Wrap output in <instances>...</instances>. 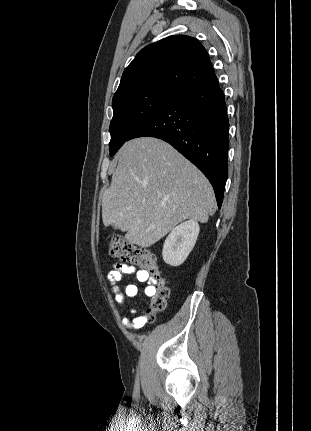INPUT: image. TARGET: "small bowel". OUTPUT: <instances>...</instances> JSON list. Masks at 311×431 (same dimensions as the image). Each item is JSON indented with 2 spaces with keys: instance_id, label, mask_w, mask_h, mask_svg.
<instances>
[{
  "instance_id": "1",
  "label": "small bowel",
  "mask_w": 311,
  "mask_h": 431,
  "mask_svg": "<svg viewBox=\"0 0 311 431\" xmlns=\"http://www.w3.org/2000/svg\"><path fill=\"white\" fill-rule=\"evenodd\" d=\"M126 275H135L139 282L148 283L144 289V293L148 297L153 295L154 286L151 285L152 280L147 271L138 270L134 266L116 263L114 264L113 269L108 273V281L114 293L117 307L123 306L127 298H133L138 293V287L135 284H127L124 288L119 287L118 284L125 278ZM129 313L133 316L132 320L127 317H123L121 319V323L125 327L137 331L145 326L147 323V317L145 315L140 314L135 308H131Z\"/></svg>"
}]
</instances>
